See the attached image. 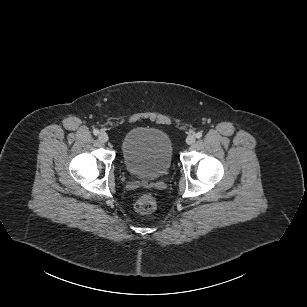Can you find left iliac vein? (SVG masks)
Segmentation results:
<instances>
[{
	"instance_id": "4c4485c4",
	"label": "left iliac vein",
	"mask_w": 307,
	"mask_h": 307,
	"mask_svg": "<svg viewBox=\"0 0 307 307\" xmlns=\"http://www.w3.org/2000/svg\"><path fill=\"white\" fill-rule=\"evenodd\" d=\"M195 136L194 135H189L187 138H186V143L188 144V145H192V144H194V142H195Z\"/></svg>"
}]
</instances>
